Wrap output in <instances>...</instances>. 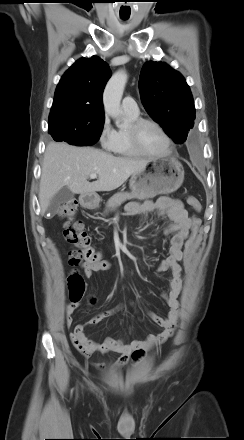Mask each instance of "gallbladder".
<instances>
[{"instance_id": "1", "label": "gallbladder", "mask_w": 244, "mask_h": 440, "mask_svg": "<svg viewBox=\"0 0 244 440\" xmlns=\"http://www.w3.org/2000/svg\"><path fill=\"white\" fill-rule=\"evenodd\" d=\"M73 198H74V193L70 191L69 188L67 187L61 188L51 199L47 212L50 213L52 216H54L62 204L69 202Z\"/></svg>"}]
</instances>
